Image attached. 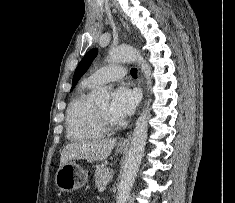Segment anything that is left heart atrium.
Masks as SVG:
<instances>
[{"instance_id": "1", "label": "left heart atrium", "mask_w": 235, "mask_h": 203, "mask_svg": "<svg viewBox=\"0 0 235 203\" xmlns=\"http://www.w3.org/2000/svg\"><path fill=\"white\" fill-rule=\"evenodd\" d=\"M137 102V93L129 87L121 85L113 92L109 115L115 121H122L133 113Z\"/></svg>"}]
</instances>
